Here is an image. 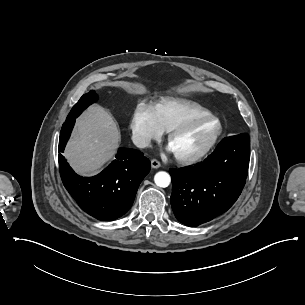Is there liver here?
I'll use <instances>...</instances> for the list:
<instances>
[{
    "label": "liver",
    "instance_id": "liver-1",
    "mask_svg": "<svg viewBox=\"0 0 305 305\" xmlns=\"http://www.w3.org/2000/svg\"><path fill=\"white\" fill-rule=\"evenodd\" d=\"M119 140L112 116L102 107L93 106L78 120L65 156L78 173L91 175L111 160Z\"/></svg>",
    "mask_w": 305,
    "mask_h": 305
}]
</instances>
